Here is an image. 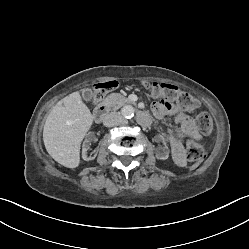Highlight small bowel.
<instances>
[{
  "mask_svg": "<svg viewBox=\"0 0 249 249\" xmlns=\"http://www.w3.org/2000/svg\"><path fill=\"white\" fill-rule=\"evenodd\" d=\"M151 114L159 119L173 116L176 128L169 131L170 146L175 162L179 166H183L185 164V143L188 139L197 142L201 138L193 119L164 101H156L152 105Z\"/></svg>",
  "mask_w": 249,
  "mask_h": 249,
  "instance_id": "small-bowel-1",
  "label": "small bowel"
}]
</instances>
